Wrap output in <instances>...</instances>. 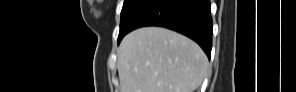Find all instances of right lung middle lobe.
<instances>
[{
  "mask_svg": "<svg viewBox=\"0 0 296 92\" xmlns=\"http://www.w3.org/2000/svg\"><path fill=\"white\" fill-rule=\"evenodd\" d=\"M154 0H125L121 11L120 32L118 43L131 31L132 25L137 17L153 2Z\"/></svg>",
  "mask_w": 296,
  "mask_h": 92,
  "instance_id": "1",
  "label": "right lung middle lobe"
}]
</instances>
